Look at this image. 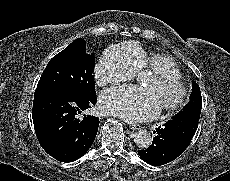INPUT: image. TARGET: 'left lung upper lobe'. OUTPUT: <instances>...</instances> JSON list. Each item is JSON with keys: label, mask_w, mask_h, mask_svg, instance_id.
I'll return each mask as SVG.
<instances>
[{"label": "left lung upper lobe", "mask_w": 230, "mask_h": 181, "mask_svg": "<svg viewBox=\"0 0 230 181\" xmlns=\"http://www.w3.org/2000/svg\"><path fill=\"white\" fill-rule=\"evenodd\" d=\"M192 93L190 96L189 103L183 108L182 111H180L175 117L181 116V115H193L196 117H200L201 109H202V97L201 92L198 84L196 82L192 83Z\"/></svg>", "instance_id": "left-lung-upper-lobe-1"}]
</instances>
